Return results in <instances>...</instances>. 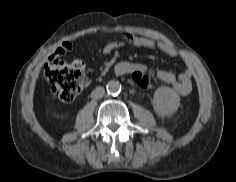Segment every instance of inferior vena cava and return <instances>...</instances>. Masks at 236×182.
I'll list each match as a JSON object with an SVG mask.
<instances>
[{"instance_id":"inferior-vena-cava-1","label":"inferior vena cava","mask_w":236,"mask_h":182,"mask_svg":"<svg viewBox=\"0 0 236 182\" xmlns=\"http://www.w3.org/2000/svg\"><path fill=\"white\" fill-rule=\"evenodd\" d=\"M105 94V89L104 87H97L95 88L92 93H91V97L93 99H100L104 96Z\"/></svg>"}]
</instances>
